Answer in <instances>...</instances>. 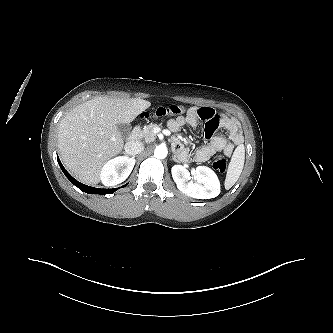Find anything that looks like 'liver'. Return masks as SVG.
<instances>
[{"label":"liver","mask_w":333,"mask_h":333,"mask_svg":"<svg viewBox=\"0 0 333 333\" xmlns=\"http://www.w3.org/2000/svg\"><path fill=\"white\" fill-rule=\"evenodd\" d=\"M151 106L138 98L96 97L64 116L58 126L63 163L80 182L98 184L105 162L124 146L118 123H130Z\"/></svg>","instance_id":"6515ba94"}]
</instances>
